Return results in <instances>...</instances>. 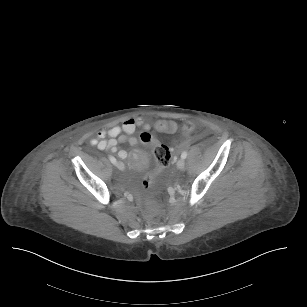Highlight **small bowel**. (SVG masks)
Here are the masks:
<instances>
[{"instance_id": "small-bowel-1", "label": "small bowel", "mask_w": 307, "mask_h": 307, "mask_svg": "<svg viewBox=\"0 0 307 307\" xmlns=\"http://www.w3.org/2000/svg\"><path fill=\"white\" fill-rule=\"evenodd\" d=\"M147 127H151V125L144 117L128 118L120 126H114L107 130L99 131L91 140V144L100 150H107L116 153L122 160L133 159L142 164L146 158L143 151L137 150L134 153H129L128 151L119 148V142H127L131 146H137L138 139L133 136L134 132L138 128L143 130Z\"/></svg>"}]
</instances>
